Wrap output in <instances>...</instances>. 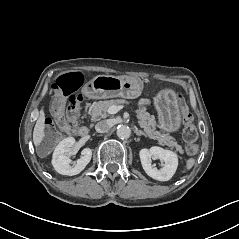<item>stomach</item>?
<instances>
[{
    "mask_svg": "<svg viewBox=\"0 0 239 239\" xmlns=\"http://www.w3.org/2000/svg\"><path fill=\"white\" fill-rule=\"evenodd\" d=\"M143 89L144 82L139 77L98 75L81 87V93L88 99H133L139 97ZM152 104L156 111L157 127L169 134L179 132L183 117L176 90L172 87L160 89L153 96Z\"/></svg>",
    "mask_w": 239,
    "mask_h": 239,
    "instance_id": "obj_1",
    "label": "stomach"
}]
</instances>
